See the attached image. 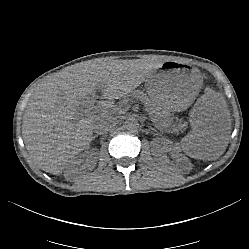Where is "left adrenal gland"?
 I'll list each match as a JSON object with an SVG mask.
<instances>
[{
    "mask_svg": "<svg viewBox=\"0 0 249 249\" xmlns=\"http://www.w3.org/2000/svg\"><path fill=\"white\" fill-rule=\"evenodd\" d=\"M157 127H155L154 125H151V126H148V130H151V131H155Z\"/></svg>",
    "mask_w": 249,
    "mask_h": 249,
    "instance_id": "1",
    "label": "left adrenal gland"
}]
</instances>
